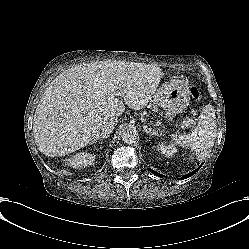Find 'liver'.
I'll return each mask as SVG.
<instances>
[{
    "label": "liver",
    "instance_id": "6515ba94",
    "mask_svg": "<svg viewBox=\"0 0 249 249\" xmlns=\"http://www.w3.org/2000/svg\"><path fill=\"white\" fill-rule=\"evenodd\" d=\"M160 78L159 69L114 62H93L59 75L36 108V145L46 156L84 148L99 136L104 121L125 111L124 103L133 110L145 108Z\"/></svg>",
    "mask_w": 249,
    "mask_h": 249
}]
</instances>
